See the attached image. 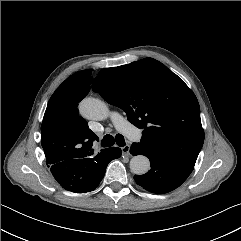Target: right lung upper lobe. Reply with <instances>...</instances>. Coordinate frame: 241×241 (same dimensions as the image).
Masks as SVG:
<instances>
[{"label": "right lung upper lobe", "mask_w": 241, "mask_h": 241, "mask_svg": "<svg viewBox=\"0 0 241 241\" xmlns=\"http://www.w3.org/2000/svg\"><path fill=\"white\" fill-rule=\"evenodd\" d=\"M91 71H79L70 76L48 102L41 126V143L47 162L94 156L92 145L98 137L79 116L77 108L90 90Z\"/></svg>", "instance_id": "1"}]
</instances>
